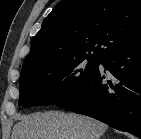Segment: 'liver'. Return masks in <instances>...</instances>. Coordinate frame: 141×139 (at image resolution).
I'll list each match as a JSON object with an SVG mask.
<instances>
[{
	"instance_id": "obj_1",
	"label": "liver",
	"mask_w": 141,
	"mask_h": 139,
	"mask_svg": "<svg viewBox=\"0 0 141 139\" xmlns=\"http://www.w3.org/2000/svg\"><path fill=\"white\" fill-rule=\"evenodd\" d=\"M108 126L88 116L60 111L21 116L11 139H100Z\"/></svg>"
}]
</instances>
